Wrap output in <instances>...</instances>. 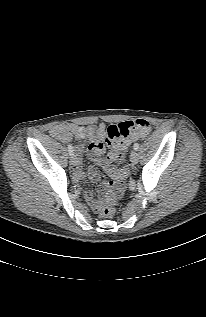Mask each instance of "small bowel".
Listing matches in <instances>:
<instances>
[{"mask_svg":"<svg viewBox=\"0 0 206 317\" xmlns=\"http://www.w3.org/2000/svg\"><path fill=\"white\" fill-rule=\"evenodd\" d=\"M50 135L58 139L62 143H68L73 138V136H75L79 141L90 139V143L88 145L87 150L90 158L95 162H98L100 160V156L103 154L105 150V125L103 123H100L98 126L88 127L78 126L75 124L55 125L51 128ZM82 151V146H77L75 149L77 156H80ZM113 156L114 151L110 153V157ZM105 169L108 171L109 167L106 166ZM86 176H88L90 179L94 181L98 179L97 172L93 166H89L86 171H82L80 165L78 164L75 171V178L78 180H82ZM84 197L88 204L94 210L98 209L99 203L95 199L93 193L87 191L84 193Z\"/></svg>","mask_w":206,"mask_h":317,"instance_id":"small-bowel-1","label":"small bowel"}]
</instances>
